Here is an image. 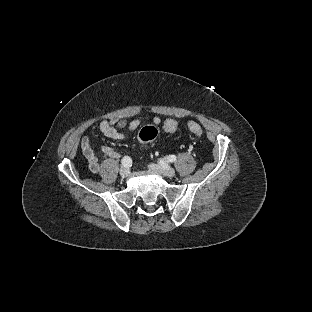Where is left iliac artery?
Here are the masks:
<instances>
[{
  "label": "left iliac artery",
  "instance_id": "left-iliac-artery-1",
  "mask_svg": "<svg viewBox=\"0 0 312 312\" xmlns=\"http://www.w3.org/2000/svg\"><path fill=\"white\" fill-rule=\"evenodd\" d=\"M166 160L168 162H175L176 161V156L175 155H169L168 157H166Z\"/></svg>",
  "mask_w": 312,
  "mask_h": 312
}]
</instances>
